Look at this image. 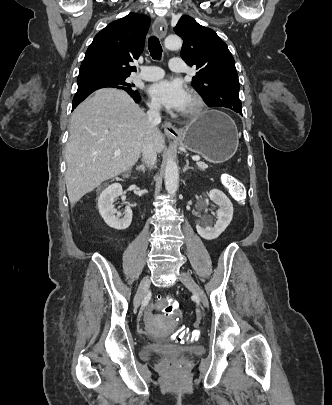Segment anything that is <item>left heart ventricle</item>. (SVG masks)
Returning a JSON list of instances; mask_svg holds the SVG:
<instances>
[{"instance_id": "b2bd125f", "label": "left heart ventricle", "mask_w": 332, "mask_h": 405, "mask_svg": "<svg viewBox=\"0 0 332 405\" xmlns=\"http://www.w3.org/2000/svg\"><path fill=\"white\" fill-rule=\"evenodd\" d=\"M190 106H191V102H190V99H188L187 105H186L185 109L183 110V112H186L187 110H189Z\"/></svg>"}]
</instances>
